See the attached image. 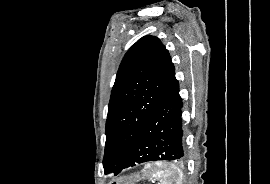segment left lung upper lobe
<instances>
[{"label":"left lung upper lobe","instance_id":"1","mask_svg":"<svg viewBox=\"0 0 270 184\" xmlns=\"http://www.w3.org/2000/svg\"><path fill=\"white\" fill-rule=\"evenodd\" d=\"M174 79V64L159 38L144 36L127 51L108 106L103 158L105 174L122 167Z\"/></svg>","mask_w":270,"mask_h":184}]
</instances>
